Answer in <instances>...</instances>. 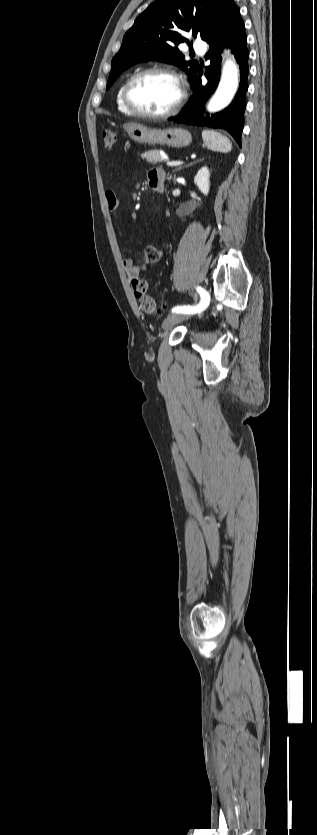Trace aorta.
Masks as SVG:
<instances>
[{
	"instance_id": "aorta-1",
	"label": "aorta",
	"mask_w": 317,
	"mask_h": 835,
	"mask_svg": "<svg viewBox=\"0 0 317 835\" xmlns=\"http://www.w3.org/2000/svg\"><path fill=\"white\" fill-rule=\"evenodd\" d=\"M239 69L234 61L227 59L222 69L221 79L216 92L210 99L207 110L211 113L221 111L233 100L239 85Z\"/></svg>"
}]
</instances>
